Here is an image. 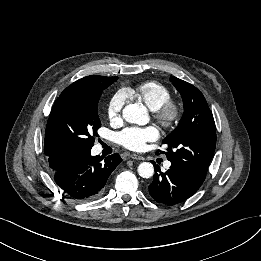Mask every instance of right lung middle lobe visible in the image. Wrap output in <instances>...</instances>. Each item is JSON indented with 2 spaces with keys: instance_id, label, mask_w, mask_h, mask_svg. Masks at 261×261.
I'll use <instances>...</instances> for the list:
<instances>
[{
  "instance_id": "1",
  "label": "right lung middle lobe",
  "mask_w": 261,
  "mask_h": 261,
  "mask_svg": "<svg viewBox=\"0 0 261 261\" xmlns=\"http://www.w3.org/2000/svg\"><path fill=\"white\" fill-rule=\"evenodd\" d=\"M117 77L94 84L74 82L55 101L45 131V154L81 156L91 150L101 126L98 102Z\"/></svg>"
}]
</instances>
